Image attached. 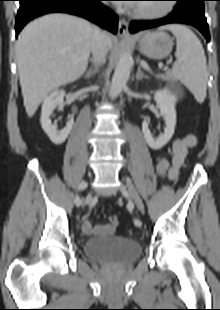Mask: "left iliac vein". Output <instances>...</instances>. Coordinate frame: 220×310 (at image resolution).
<instances>
[{"mask_svg":"<svg viewBox=\"0 0 220 310\" xmlns=\"http://www.w3.org/2000/svg\"><path fill=\"white\" fill-rule=\"evenodd\" d=\"M125 182H126V187L128 189L129 195L131 196L132 200L135 202L137 207L143 212L144 211L143 202L136 188L134 187L132 181L129 178L125 177Z\"/></svg>","mask_w":220,"mask_h":310,"instance_id":"4c4485c4","label":"left iliac vein"}]
</instances>
